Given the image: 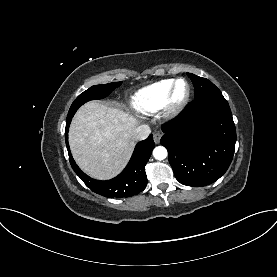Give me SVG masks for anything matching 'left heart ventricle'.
Returning <instances> with one entry per match:
<instances>
[{"instance_id":"obj_1","label":"left heart ventricle","mask_w":277,"mask_h":277,"mask_svg":"<svg viewBox=\"0 0 277 277\" xmlns=\"http://www.w3.org/2000/svg\"><path fill=\"white\" fill-rule=\"evenodd\" d=\"M186 92V85L181 82L178 84V87H177V97L178 98H181Z\"/></svg>"}]
</instances>
